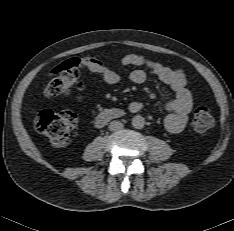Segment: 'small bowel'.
Returning a JSON list of instances; mask_svg holds the SVG:
<instances>
[{
	"label": "small bowel",
	"mask_w": 234,
	"mask_h": 231,
	"mask_svg": "<svg viewBox=\"0 0 234 231\" xmlns=\"http://www.w3.org/2000/svg\"><path fill=\"white\" fill-rule=\"evenodd\" d=\"M85 64L106 84L116 85L119 83L120 76L111 65L103 64L91 57L85 59ZM117 64L121 66H144L150 74L157 77L175 92V98L164 103V109L168 114L165 116L163 123L169 133L180 134L186 126L188 115L193 106V98L187 88V80L183 71L169 68L139 54L126 55ZM54 71H57V69ZM147 77V72L141 69H135L129 74L130 80L137 84L144 83ZM85 96L86 88L84 84L78 83L76 99L82 101ZM143 108L144 104L140 101H133L129 104V110L133 113L139 112Z\"/></svg>",
	"instance_id": "c3829d8e"
}]
</instances>
